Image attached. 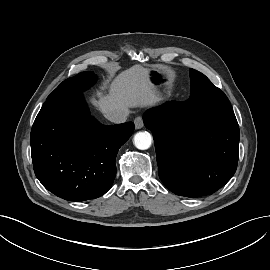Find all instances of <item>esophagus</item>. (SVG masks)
<instances>
[{
    "instance_id": "34e87169",
    "label": "esophagus",
    "mask_w": 270,
    "mask_h": 270,
    "mask_svg": "<svg viewBox=\"0 0 270 270\" xmlns=\"http://www.w3.org/2000/svg\"><path fill=\"white\" fill-rule=\"evenodd\" d=\"M135 129H141L144 126L143 118L138 116L134 119Z\"/></svg>"
}]
</instances>
